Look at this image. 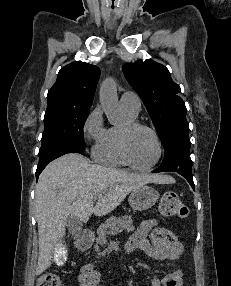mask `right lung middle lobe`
<instances>
[{
    "label": "right lung middle lobe",
    "instance_id": "obj_1",
    "mask_svg": "<svg viewBox=\"0 0 231 286\" xmlns=\"http://www.w3.org/2000/svg\"><path fill=\"white\" fill-rule=\"evenodd\" d=\"M89 108L52 107L44 116V133L39 155L60 146L72 145L85 150L83 127Z\"/></svg>",
    "mask_w": 231,
    "mask_h": 286
}]
</instances>
